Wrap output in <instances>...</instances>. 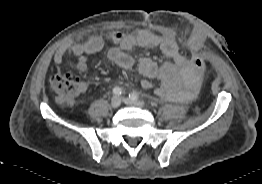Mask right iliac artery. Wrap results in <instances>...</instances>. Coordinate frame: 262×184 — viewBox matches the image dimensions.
<instances>
[{
  "label": "right iliac artery",
  "instance_id": "1",
  "mask_svg": "<svg viewBox=\"0 0 262 184\" xmlns=\"http://www.w3.org/2000/svg\"><path fill=\"white\" fill-rule=\"evenodd\" d=\"M112 92H113L114 95L119 96V95L122 94V89L120 87L116 86V87L113 88Z\"/></svg>",
  "mask_w": 262,
  "mask_h": 184
}]
</instances>
